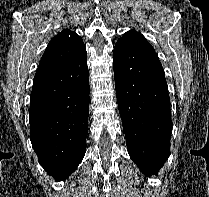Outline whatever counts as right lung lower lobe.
<instances>
[{
    "instance_id": "98d812e1",
    "label": "right lung lower lobe",
    "mask_w": 209,
    "mask_h": 197,
    "mask_svg": "<svg viewBox=\"0 0 209 197\" xmlns=\"http://www.w3.org/2000/svg\"><path fill=\"white\" fill-rule=\"evenodd\" d=\"M88 73L85 51L61 70L33 82L30 139L40 165L56 181L69 177L85 155Z\"/></svg>"
}]
</instances>
